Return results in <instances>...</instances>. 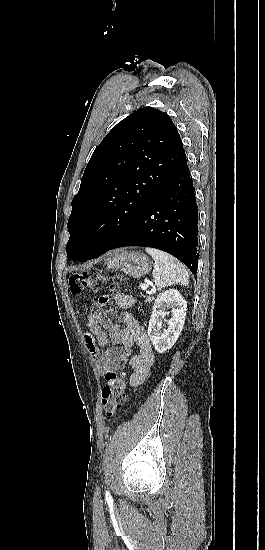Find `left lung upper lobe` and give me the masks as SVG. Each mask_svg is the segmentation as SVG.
<instances>
[{
    "label": "left lung upper lobe",
    "instance_id": "5c2ea615",
    "mask_svg": "<svg viewBox=\"0 0 265 550\" xmlns=\"http://www.w3.org/2000/svg\"><path fill=\"white\" fill-rule=\"evenodd\" d=\"M185 156L176 126L160 110L141 108L114 126L94 150L72 201L67 257L83 262L110 247Z\"/></svg>",
    "mask_w": 265,
    "mask_h": 550
}]
</instances>
